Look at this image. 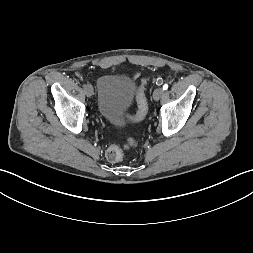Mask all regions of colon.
Returning a JSON list of instances; mask_svg holds the SVG:
<instances>
[{"instance_id":"obj_1","label":"colon","mask_w":253,"mask_h":253,"mask_svg":"<svg viewBox=\"0 0 253 253\" xmlns=\"http://www.w3.org/2000/svg\"><path fill=\"white\" fill-rule=\"evenodd\" d=\"M137 111L135 115L131 117L134 122H140L144 119L147 112V102L143 94V88H141L137 94ZM132 141L125 143L123 146L111 145L106 151V158L112 163L120 162L123 159L124 151L132 147Z\"/></svg>"}]
</instances>
